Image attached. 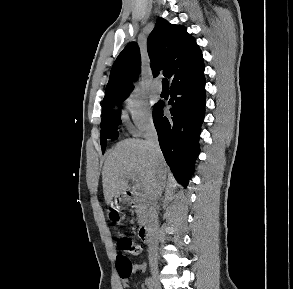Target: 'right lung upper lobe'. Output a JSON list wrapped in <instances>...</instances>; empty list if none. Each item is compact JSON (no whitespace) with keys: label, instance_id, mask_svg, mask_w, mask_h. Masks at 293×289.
Wrapping results in <instances>:
<instances>
[{"label":"right lung upper lobe","instance_id":"1","mask_svg":"<svg viewBox=\"0 0 293 289\" xmlns=\"http://www.w3.org/2000/svg\"><path fill=\"white\" fill-rule=\"evenodd\" d=\"M147 50L154 77L163 69V75L171 79V87L193 81L204 73L202 52L184 26L172 25L159 17L147 39ZM140 65L139 47L130 42L112 66L103 103L114 97L128 96Z\"/></svg>","mask_w":293,"mask_h":289}]
</instances>
